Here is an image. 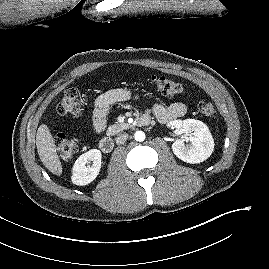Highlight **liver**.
<instances>
[{
    "instance_id": "1",
    "label": "liver",
    "mask_w": 269,
    "mask_h": 269,
    "mask_svg": "<svg viewBox=\"0 0 269 269\" xmlns=\"http://www.w3.org/2000/svg\"><path fill=\"white\" fill-rule=\"evenodd\" d=\"M36 146L43 165L53 174L60 176L62 165L56 152L53 136L46 124H41L37 130Z\"/></svg>"
}]
</instances>
